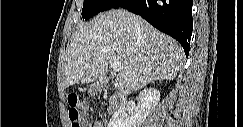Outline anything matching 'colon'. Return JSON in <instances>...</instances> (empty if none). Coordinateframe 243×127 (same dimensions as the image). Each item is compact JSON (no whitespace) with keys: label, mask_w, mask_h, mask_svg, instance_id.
<instances>
[{"label":"colon","mask_w":243,"mask_h":127,"mask_svg":"<svg viewBox=\"0 0 243 127\" xmlns=\"http://www.w3.org/2000/svg\"><path fill=\"white\" fill-rule=\"evenodd\" d=\"M69 105V120L71 127H84L83 113L78 106V99L76 94H70L68 96Z\"/></svg>","instance_id":"colon-1"}]
</instances>
